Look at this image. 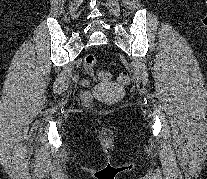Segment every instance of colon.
Instances as JSON below:
<instances>
[{"mask_svg":"<svg viewBox=\"0 0 207 179\" xmlns=\"http://www.w3.org/2000/svg\"><path fill=\"white\" fill-rule=\"evenodd\" d=\"M96 64V57L92 54H89L85 57L84 59V67L86 69V71H91L93 69V67ZM99 78L103 81H107L110 79V73L106 70H100L99 71ZM130 81V76L128 73L123 72L119 75L118 77V82L122 85H126L128 84ZM80 101L83 104H90L93 101V95L91 92L86 91L84 93L81 94L80 96Z\"/></svg>","mask_w":207,"mask_h":179,"instance_id":"colon-1","label":"colon"}]
</instances>
